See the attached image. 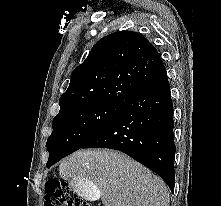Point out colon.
<instances>
[{
	"label": "colon",
	"mask_w": 221,
	"mask_h": 206,
	"mask_svg": "<svg viewBox=\"0 0 221 206\" xmlns=\"http://www.w3.org/2000/svg\"><path fill=\"white\" fill-rule=\"evenodd\" d=\"M44 206H90L64 181L50 179L45 184Z\"/></svg>",
	"instance_id": "1"
}]
</instances>
